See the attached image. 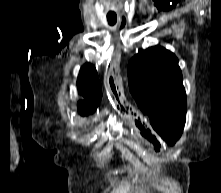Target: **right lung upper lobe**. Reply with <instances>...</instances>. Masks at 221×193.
Listing matches in <instances>:
<instances>
[{"label":"right lung upper lobe","mask_w":221,"mask_h":193,"mask_svg":"<svg viewBox=\"0 0 221 193\" xmlns=\"http://www.w3.org/2000/svg\"><path fill=\"white\" fill-rule=\"evenodd\" d=\"M77 86L79 93L84 96V100L78 102V112L83 116L93 113L102 96L101 84L93 65L85 64L81 68Z\"/></svg>","instance_id":"cb5924a9"}]
</instances>
